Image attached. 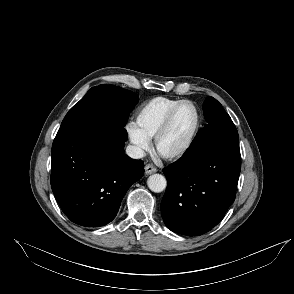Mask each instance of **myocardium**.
I'll return each instance as SVG.
<instances>
[{
    "instance_id": "myocardium-1",
    "label": "myocardium",
    "mask_w": 294,
    "mask_h": 294,
    "mask_svg": "<svg viewBox=\"0 0 294 294\" xmlns=\"http://www.w3.org/2000/svg\"><path fill=\"white\" fill-rule=\"evenodd\" d=\"M184 104H191L196 111L197 118H196L195 127H194L189 139L187 140V142L185 143V145L182 148H180L179 150H177L175 152L169 153V154H162L159 151L160 142H161L162 138L164 137V135L166 134V132L168 131V129L172 123V120L174 118V115L176 114L178 109ZM201 124H202V114H201V111H200V108L198 107V105L194 101L188 100V99H183V100L179 101L166 114L165 118L163 119L160 127L158 128V130L154 136L153 147H154L155 154L158 157H160L164 160H167V161H175V160L182 158L183 156H185L189 152V150L193 146V144L198 136V133L200 131Z\"/></svg>"
}]
</instances>
